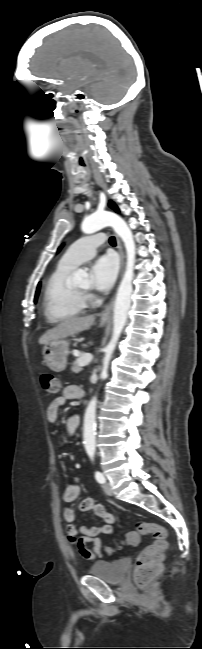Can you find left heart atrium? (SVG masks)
Returning <instances> with one entry per match:
<instances>
[{
	"label": "left heart atrium",
	"mask_w": 202,
	"mask_h": 649,
	"mask_svg": "<svg viewBox=\"0 0 202 649\" xmlns=\"http://www.w3.org/2000/svg\"><path fill=\"white\" fill-rule=\"evenodd\" d=\"M117 273L116 257L112 254L103 255L96 259L91 267V284L97 290L107 291L114 284Z\"/></svg>",
	"instance_id": "obj_1"
}]
</instances>
